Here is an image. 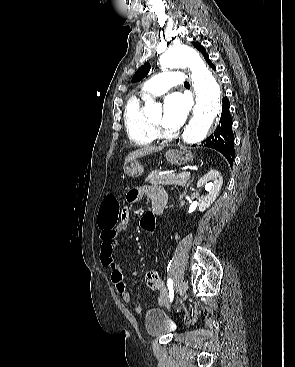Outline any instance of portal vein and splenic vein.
Here are the masks:
<instances>
[{
    "instance_id": "portal-vein-and-splenic-vein-1",
    "label": "portal vein and splenic vein",
    "mask_w": 295,
    "mask_h": 367,
    "mask_svg": "<svg viewBox=\"0 0 295 367\" xmlns=\"http://www.w3.org/2000/svg\"><path fill=\"white\" fill-rule=\"evenodd\" d=\"M190 172H182L180 175L183 176V177H187V176H190Z\"/></svg>"
}]
</instances>
